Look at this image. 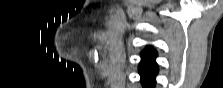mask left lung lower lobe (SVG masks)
I'll list each match as a JSON object with an SVG mask.
<instances>
[{
    "label": "left lung lower lobe",
    "mask_w": 223,
    "mask_h": 88,
    "mask_svg": "<svg viewBox=\"0 0 223 88\" xmlns=\"http://www.w3.org/2000/svg\"><path fill=\"white\" fill-rule=\"evenodd\" d=\"M157 71V65L153 61L143 58L139 66V73L141 75L142 84L145 88H153L155 85V75L157 74Z\"/></svg>",
    "instance_id": "1"
}]
</instances>
